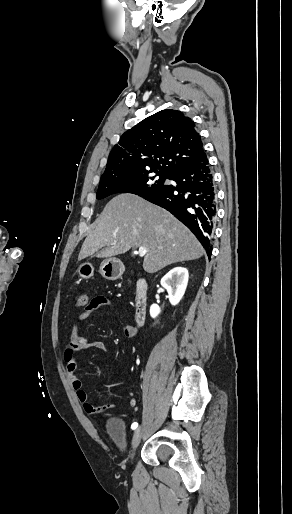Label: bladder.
Wrapping results in <instances>:
<instances>
[{
	"label": "bladder",
	"mask_w": 292,
	"mask_h": 514,
	"mask_svg": "<svg viewBox=\"0 0 292 514\" xmlns=\"http://www.w3.org/2000/svg\"><path fill=\"white\" fill-rule=\"evenodd\" d=\"M107 429L118 449L124 451L126 448V430L122 419L119 417L111 418L108 422Z\"/></svg>",
	"instance_id": "obj_1"
}]
</instances>
